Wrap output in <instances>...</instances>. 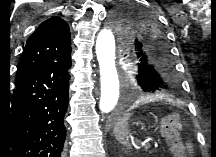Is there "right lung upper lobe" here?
<instances>
[{"label": "right lung upper lobe", "mask_w": 216, "mask_h": 157, "mask_svg": "<svg viewBox=\"0 0 216 157\" xmlns=\"http://www.w3.org/2000/svg\"><path fill=\"white\" fill-rule=\"evenodd\" d=\"M71 53L68 24L60 17H51L42 22L27 40L23 51L16 81L36 69Z\"/></svg>", "instance_id": "1"}]
</instances>
